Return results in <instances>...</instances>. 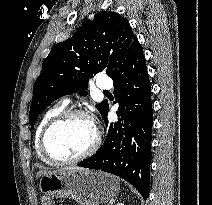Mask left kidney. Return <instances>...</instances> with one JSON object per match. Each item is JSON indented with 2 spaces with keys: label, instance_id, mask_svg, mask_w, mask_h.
Wrapping results in <instances>:
<instances>
[{
  "label": "left kidney",
  "instance_id": "left-kidney-1",
  "mask_svg": "<svg viewBox=\"0 0 212 205\" xmlns=\"http://www.w3.org/2000/svg\"><path fill=\"white\" fill-rule=\"evenodd\" d=\"M117 205H124L123 203H118Z\"/></svg>",
  "mask_w": 212,
  "mask_h": 205
}]
</instances>
